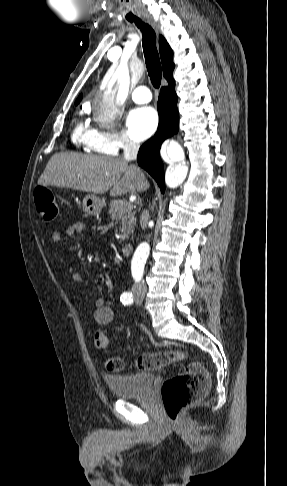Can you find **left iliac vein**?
Instances as JSON below:
<instances>
[{
    "instance_id": "4c4485c4",
    "label": "left iliac vein",
    "mask_w": 287,
    "mask_h": 486,
    "mask_svg": "<svg viewBox=\"0 0 287 486\" xmlns=\"http://www.w3.org/2000/svg\"><path fill=\"white\" fill-rule=\"evenodd\" d=\"M134 300L137 305H141L143 301V295H137Z\"/></svg>"
}]
</instances>
